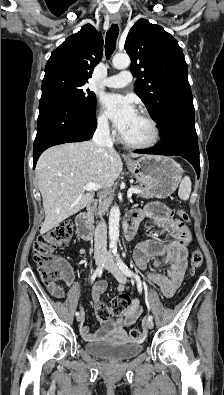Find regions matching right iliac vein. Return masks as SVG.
<instances>
[{
  "label": "right iliac vein",
  "instance_id": "63e3f726",
  "mask_svg": "<svg viewBox=\"0 0 224 395\" xmlns=\"http://www.w3.org/2000/svg\"><path fill=\"white\" fill-rule=\"evenodd\" d=\"M103 259H104V256H103V255H97V256L95 257L96 265H97V266H100L101 263L103 262ZM84 317H85V315H84V312L82 311V312L79 314V316L77 317V321H78V322L83 321V320H84Z\"/></svg>",
  "mask_w": 224,
  "mask_h": 395
}]
</instances>
